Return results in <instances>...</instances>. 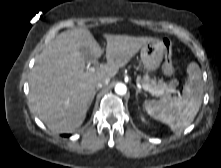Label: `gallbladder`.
<instances>
[{"label":"gallbladder","mask_w":221,"mask_h":168,"mask_svg":"<svg viewBox=\"0 0 221 168\" xmlns=\"http://www.w3.org/2000/svg\"><path fill=\"white\" fill-rule=\"evenodd\" d=\"M79 51L81 52L82 57L86 62L95 61L96 59L95 55L87 47L81 46L79 48Z\"/></svg>","instance_id":"obj_1"}]
</instances>
